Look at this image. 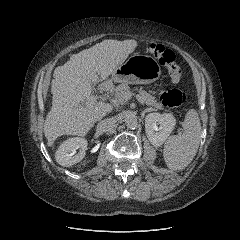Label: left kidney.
Listing matches in <instances>:
<instances>
[{
    "label": "left kidney",
    "mask_w": 240,
    "mask_h": 240,
    "mask_svg": "<svg viewBox=\"0 0 240 240\" xmlns=\"http://www.w3.org/2000/svg\"><path fill=\"white\" fill-rule=\"evenodd\" d=\"M176 124L175 117L170 113H150L145 117V132L150 143L161 146Z\"/></svg>",
    "instance_id": "1"
}]
</instances>
